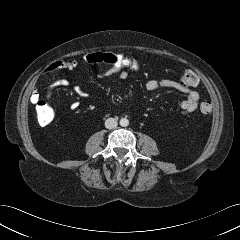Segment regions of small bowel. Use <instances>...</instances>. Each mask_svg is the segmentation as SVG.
I'll list each match as a JSON object with an SVG mask.
<instances>
[{
	"instance_id": "c3829d8e",
	"label": "small bowel",
	"mask_w": 240,
	"mask_h": 240,
	"mask_svg": "<svg viewBox=\"0 0 240 240\" xmlns=\"http://www.w3.org/2000/svg\"><path fill=\"white\" fill-rule=\"evenodd\" d=\"M78 62L75 59L71 60H59L52 63L48 69L49 72H53L56 70H66L71 71L77 68ZM112 74H118L119 77L123 80L127 79L128 73L121 71L116 72L110 66H106V68L100 73L102 77L109 76ZM69 85V81L66 78H60L53 82L46 90L45 97H50L52 91L57 87H66ZM146 89L149 91H156L159 89H176L186 94V98L179 104V108L183 114H188L195 111L199 104V94L197 91L183 87L179 81L172 80V79H163V80H156L150 79L146 82ZM73 90L76 94L80 97L85 98L87 97V93L81 89L79 86H74ZM31 101L32 103H37L40 101V94L37 90H34L31 94ZM79 103L73 102L71 103V109H77Z\"/></svg>"
}]
</instances>
